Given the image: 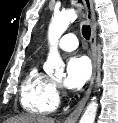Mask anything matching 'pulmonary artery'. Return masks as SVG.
Here are the masks:
<instances>
[{
    "label": "pulmonary artery",
    "mask_w": 118,
    "mask_h": 123,
    "mask_svg": "<svg viewBox=\"0 0 118 123\" xmlns=\"http://www.w3.org/2000/svg\"><path fill=\"white\" fill-rule=\"evenodd\" d=\"M58 47L64 51H73L78 47V39L76 35L69 33L64 35L59 43Z\"/></svg>",
    "instance_id": "obj_1"
}]
</instances>
